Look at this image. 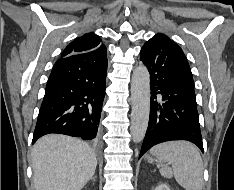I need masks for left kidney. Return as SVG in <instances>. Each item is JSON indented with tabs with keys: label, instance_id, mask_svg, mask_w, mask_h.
<instances>
[{
	"label": "left kidney",
	"instance_id": "1",
	"mask_svg": "<svg viewBox=\"0 0 234 190\" xmlns=\"http://www.w3.org/2000/svg\"><path fill=\"white\" fill-rule=\"evenodd\" d=\"M154 190H171V189L165 183H161Z\"/></svg>",
	"mask_w": 234,
	"mask_h": 190
}]
</instances>
